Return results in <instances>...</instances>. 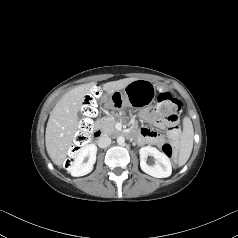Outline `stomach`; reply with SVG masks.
<instances>
[{
    "mask_svg": "<svg viewBox=\"0 0 238 238\" xmlns=\"http://www.w3.org/2000/svg\"><path fill=\"white\" fill-rule=\"evenodd\" d=\"M155 85L145 79H136L129 83L124 91L113 93L105 103L107 108L132 109L133 107L150 106L155 99Z\"/></svg>",
    "mask_w": 238,
    "mask_h": 238,
    "instance_id": "obj_1",
    "label": "stomach"
}]
</instances>
